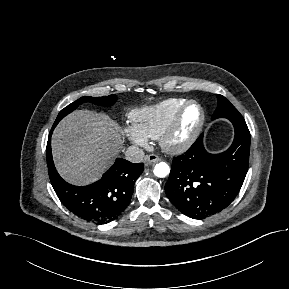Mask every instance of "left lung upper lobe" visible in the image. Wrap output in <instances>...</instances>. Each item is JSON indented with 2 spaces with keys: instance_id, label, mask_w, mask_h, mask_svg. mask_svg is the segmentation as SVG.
Wrapping results in <instances>:
<instances>
[{
  "instance_id": "5c2ea615",
  "label": "left lung upper lobe",
  "mask_w": 289,
  "mask_h": 289,
  "mask_svg": "<svg viewBox=\"0 0 289 289\" xmlns=\"http://www.w3.org/2000/svg\"><path fill=\"white\" fill-rule=\"evenodd\" d=\"M218 100V107L216 108L212 119L224 117L231 122L245 123L244 118L238 110L222 95H216Z\"/></svg>"
}]
</instances>
